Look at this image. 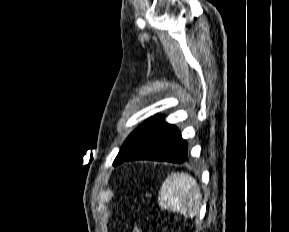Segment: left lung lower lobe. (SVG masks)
Here are the masks:
<instances>
[{
	"label": "left lung lower lobe",
	"instance_id": "0a47b994",
	"mask_svg": "<svg viewBox=\"0 0 289 232\" xmlns=\"http://www.w3.org/2000/svg\"><path fill=\"white\" fill-rule=\"evenodd\" d=\"M187 154V143L182 139L179 130L171 124H166L124 161L157 160L183 163Z\"/></svg>",
	"mask_w": 289,
	"mask_h": 232
}]
</instances>
